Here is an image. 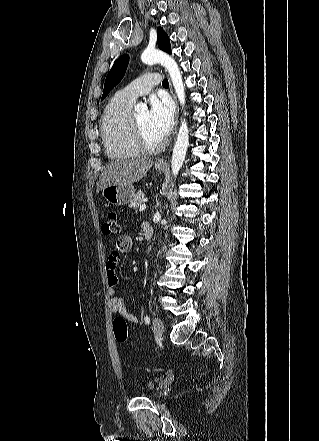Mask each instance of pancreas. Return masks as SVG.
<instances>
[{"label": "pancreas", "mask_w": 319, "mask_h": 441, "mask_svg": "<svg viewBox=\"0 0 319 441\" xmlns=\"http://www.w3.org/2000/svg\"><path fill=\"white\" fill-rule=\"evenodd\" d=\"M145 195L143 192L138 191L135 195L133 200L129 203V207L133 208L136 212L139 209V207L144 203Z\"/></svg>", "instance_id": "1"}]
</instances>
